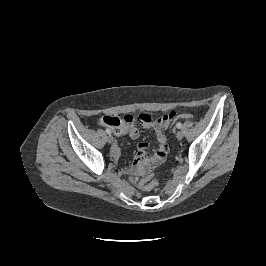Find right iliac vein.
Returning <instances> with one entry per match:
<instances>
[{"label": "right iliac vein", "mask_w": 266, "mask_h": 266, "mask_svg": "<svg viewBox=\"0 0 266 266\" xmlns=\"http://www.w3.org/2000/svg\"><path fill=\"white\" fill-rule=\"evenodd\" d=\"M106 139H107V142H108V143H112V142H113V140H114L113 136H112V135H110V134L107 136V138H106Z\"/></svg>", "instance_id": "1"}]
</instances>
